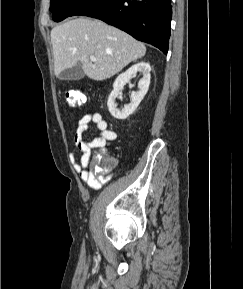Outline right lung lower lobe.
Instances as JSON below:
<instances>
[{
    "mask_svg": "<svg viewBox=\"0 0 243 289\" xmlns=\"http://www.w3.org/2000/svg\"><path fill=\"white\" fill-rule=\"evenodd\" d=\"M103 20L167 54L171 0H85L71 16Z\"/></svg>",
    "mask_w": 243,
    "mask_h": 289,
    "instance_id": "98d812e1",
    "label": "right lung lower lobe"
}]
</instances>
